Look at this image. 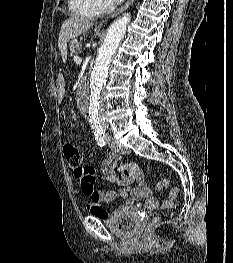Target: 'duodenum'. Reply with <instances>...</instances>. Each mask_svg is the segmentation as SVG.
<instances>
[{
	"instance_id": "410a0bca",
	"label": "duodenum",
	"mask_w": 233,
	"mask_h": 263,
	"mask_svg": "<svg viewBox=\"0 0 233 263\" xmlns=\"http://www.w3.org/2000/svg\"><path fill=\"white\" fill-rule=\"evenodd\" d=\"M79 77L81 78L80 79L81 83H88L89 82V76L87 73H80Z\"/></svg>"
}]
</instances>
